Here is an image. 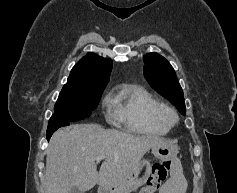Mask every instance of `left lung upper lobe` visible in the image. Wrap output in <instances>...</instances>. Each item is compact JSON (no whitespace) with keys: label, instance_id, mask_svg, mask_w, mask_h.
Segmentation results:
<instances>
[{"label":"left lung upper lobe","instance_id":"left-lung-upper-lobe-1","mask_svg":"<svg viewBox=\"0 0 237 193\" xmlns=\"http://www.w3.org/2000/svg\"><path fill=\"white\" fill-rule=\"evenodd\" d=\"M144 76L149 84L186 115L182 88L170 63L161 55L149 53L143 57Z\"/></svg>","mask_w":237,"mask_h":193}]
</instances>
